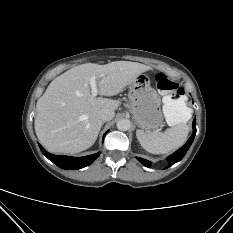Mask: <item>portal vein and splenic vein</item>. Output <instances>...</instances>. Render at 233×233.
Returning <instances> with one entry per match:
<instances>
[{"label": "portal vein and splenic vein", "instance_id": "portal-vein-and-splenic-vein-1", "mask_svg": "<svg viewBox=\"0 0 233 233\" xmlns=\"http://www.w3.org/2000/svg\"><path fill=\"white\" fill-rule=\"evenodd\" d=\"M96 79H97L96 76H92V77L90 78V81H89V84H90L91 89H92V90H91V94H92L93 97H96L97 94H98V88H97Z\"/></svg>", "mask_w": 233, "mask_h": 233}]
</instances>
